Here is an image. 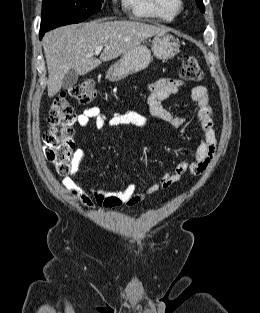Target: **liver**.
Here are the masks:
<instances>
[{
	"mask_svg": "<svg viewBox=\"0 0 260 313\" xmlns=\"http://www.w3.org/2000/svg\"><path fill=\"white\" fill-rule=\"evenodd\" d=\"M169 31L137 21L101 20L67 25L49 31L43 38V49L48 68V96H55L69 71L85 75L102 62L124 54L145 39ZM104 50L100 58L93 53L98 46Z\"/></svg>",
	"mask_w": 260,
	"mask_h": 313,
	"instance_id": "1",
	"label": "liver"
}]
</instances>
